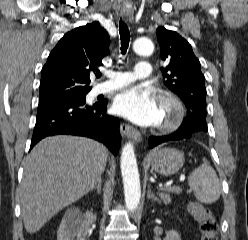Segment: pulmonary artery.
Listing matches in <instances>:
<instances>
[{"label": "pulmonary artery", "mask_w": 248, "mask_h": 240, "mask_svg": "<svg viewBox=\"0 0 248 240\" xmlns=\"http://www.w3.org/2000/svg\"><path fill=\"white\" fill-rule=\"evenodd\" d=\"M151 67L146 61H139L133 72L111 71L108 80L96 85L92 90V95L108 93L113 90L127 86L136 80H145L150 77Z\"/></svg>", "instance_id": "obj_1"}]
</instances>
